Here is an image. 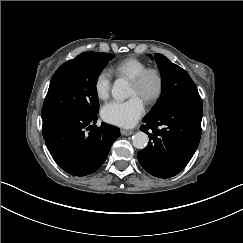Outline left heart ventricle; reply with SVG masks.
<instances>
[{
	"label": "left heart ventricle",
	"instance_id": "obj_1",
	"mask_svg": "<svg viewBox=\"0 0 243 243\" xmlns=\"http://www.w3.org/2000/svg\"><path fill=\"white\" fill-rule=\"evenodd\" d=\"M158 89V78L155 74H151L141 87H136L131 83L130 95H138L143 100L146 97L152 96Z\"/></svg>",
	"mask_w": 243,
	"mask_h": 243
}]
</instances>
